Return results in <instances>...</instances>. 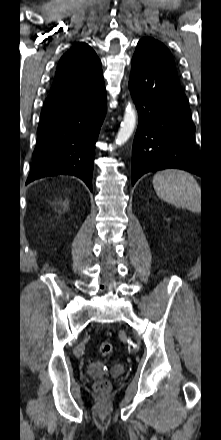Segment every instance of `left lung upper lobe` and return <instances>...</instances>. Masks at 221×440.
<instances>
[{"label":"left lung upper lobe","instance_id":"1","mask_svg":"<svg viewBox=\"0 0 221 440\" xmlns=\"http://www.w3.org/2000/svg\"><path fill=\"white\" fill-rule=\"evenodd\" d=\"M135 52L141 53L146 61L159 71L178 79L172 55L161 42L145 37L138 42Z\"/></svg>","mask_w":221,"mask_h":440}]
</instances>
